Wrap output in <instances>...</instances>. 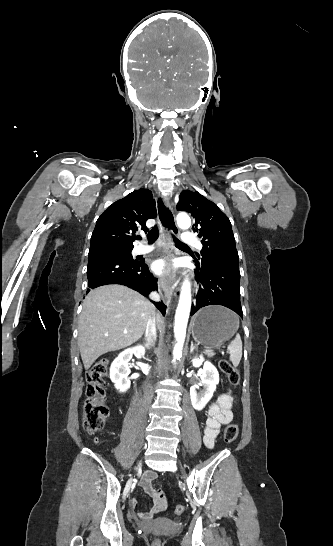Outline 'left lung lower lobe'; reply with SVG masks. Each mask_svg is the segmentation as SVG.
Listing matches in <instances>:
<instances>
[{"mask_svg": "<svg viewBox=\"0 0 333 546\" xmlns=\"http://www.w3.org/2000/svg\"><path fill=\"white\" fill-rule=\"evenodd\" d=\"M195 277L199 290L191 307V315L204 306L222 305L243 317L238 264L197 267Z\"/></svg>", "mask_w": 333, "mask_h": 546, "instance_id": "0a47b994", "label": "left lung lower lobe"}]
</instances>
